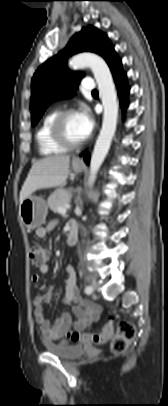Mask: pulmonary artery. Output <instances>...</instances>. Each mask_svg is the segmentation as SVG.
Instances as JSON below:
<instances>
[{"label":"pulmonary artery","mask_w":168,"mask_h":406,"mask_svg":"<svg viewBox=\"0 0 168 406\" xmlns=\"http://www.w3.org/2000/svg\"><path fill=\"white\" fill-rule=\"evenodd\" d=\"M82 87H83V89H85L87 91H92L95 88L94 80L90 77L84 78Z\"/></svg>","instance_id":"obj_1"}]
</instances>
